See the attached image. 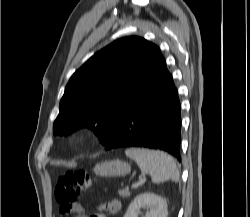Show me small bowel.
Listing matches in <instances>:
<instances>
[{"instance_id":"small-bowel-1","label":"small bowel","mask_w":250,"mask_h":217,"mask_svg":"<svg viewBox=\"0 0 250 217\" xmlns=\"http://www.w3.org/2000/svg\"><path fill=\"white\" fill-rule=\"evenodd\" d=\"M121 208H122V203L118 199H112L103 206V209L109 215H115V214L119 213ZM62 211L74 213V214H76V217H87L84 214V209H83L82 205H80V204L71 208V209H62Z\"/></svg>"}]
</instances>
